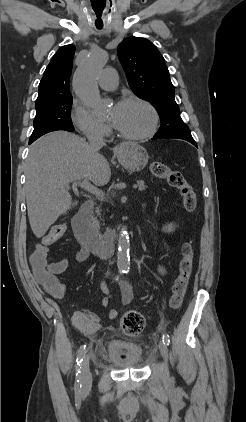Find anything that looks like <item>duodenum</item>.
Wrapping results in <instances>:
<instances>
[{
	"label": "duodenum",
	"mask_w": 246,
	"mask_h": 422,
	"mask_svg": "<svg viewBox=\"0 0 246 422\" xmlns=\"http://www.w3.org/2000/svg\"><path fill=\"white\" fill-rule=\"evenodd\" d=\"M94 202L85 201L73 218L72 226L77 240L94 255L106 258L113 255L116 249L115 231L101 233L91 223Z\"/></svg>",
	"instance_id": "1"
}]
</instances>
